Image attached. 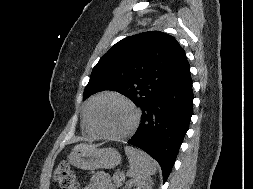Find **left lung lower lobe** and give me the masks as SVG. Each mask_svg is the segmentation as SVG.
<instances>
[{
	"label": "left lung lower lobe",
	"instance_id": "0a47b994",
	"mask_svg": "<svg viewBox=\"0 0 253 189\" xmlns=\"http://www.w3.org/2000/svg\"><path fill=\"white\" fill-rule=\"evenodd\" d=\"M193 98L186 60L177 75L141 108V124L128 141L157 160L162 168L163 182L172 170L189 128Z\"/></svg>",
	"mask_w": 253,
	"mask_h": 189
}]
</instances>
